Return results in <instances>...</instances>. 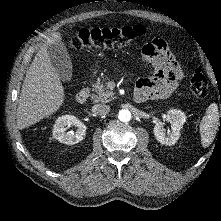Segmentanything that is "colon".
I'll return each instance as SVG.
<instances>
[{
	"label": "colon",
	"mask_w": 221,
	"mask_h": 221,
	"mask_svg": "<svg viewBox=\"0 0 221 221\" xmlns=\"http://www.w3.org/2000/svg\"><path fill=\"white\" fill-rule=\"evenodd\" d=\"M145 32V28L141 25L82 28L73 35L69 41V46L75 50L83 48L119 49L142 37ZM190 89L196 97L203 98L207 96L208 82L201 70L197 69L193 73L190 80Z\"/></svg>",
	"instance_id": "obj_1"
}]
</instances>
